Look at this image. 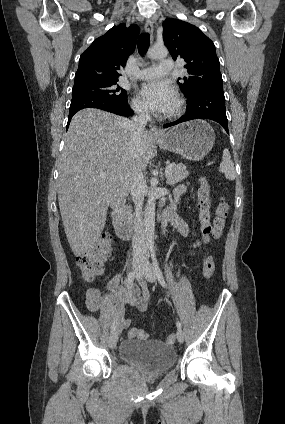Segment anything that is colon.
Wrapping results in <instances>:
<instances>
[{"mask_svg": "<svg viewBox=\"0 0 285 424\" xmlns=\"http://www.w3.org/2000/svg\"><path fill=\"white\" fill-rule=\"evenodd\" d=\"M199 207L201 210L202 233L205 244H210L213 238H218L223 230L225 218L228 213V204L221 197L214 210V216H210V184L208 179L201 178L199 186ZM112 250V237L108 231L103 232L98 238L95 246L77 257V265L80 276L85 281H92L103 271L104 262L110 255ZM215 270L213 255L210 251L205 253L204 258V276L207 281L211 279ZM128 337L134 339L136 337L144 339L147 334L143 331L131 329ZM168 343L174 342V335L167 337Z\"/></svg>", "mask_w": 285, "mask_h": 424, "instance_id": "5ec220e1", "label": "colon"}]
</instances>
